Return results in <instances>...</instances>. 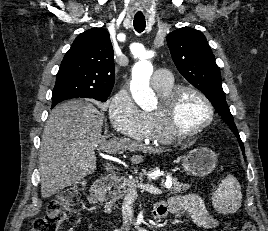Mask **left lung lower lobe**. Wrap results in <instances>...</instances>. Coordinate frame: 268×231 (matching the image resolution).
Segmentation results:
<instances>
[{"instance_id":"0a47b994","label":"left lung lower lobe","mask_w":268,"mask_h":231,"mask_svg":"<svg viewBox=\"0 0 268 231\" xmlns=\"http://www.w3.org/2000/svg\"><path fill=\"white\" fill-rule=\"evenodd\" d=\"M239 144H240V147H241V149H242L243 154L245 155L243 144H242L241 142H240Z\"/></svg>"}]
</instances>
